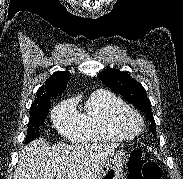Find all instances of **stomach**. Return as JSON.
<instances>
[{
    "label": "stomach",
    "mask_w": 183,
    "mask_h": 179,
    "mask_svg": "<svg viewBox=\"0 0 183 179\" xmlns=\"http://www.w3.org/2000/svg\"><path fill=\"white\" fill-rule=\"evenodd\" d=\"M128 161V154L117 150L103 164L96 179H123L124 165Z\"/></svg>",
    "instance_id": "1"
}]
</instances>
